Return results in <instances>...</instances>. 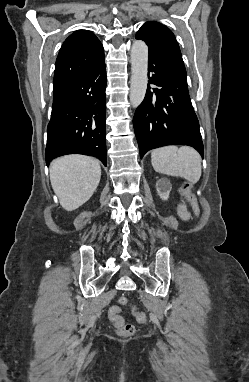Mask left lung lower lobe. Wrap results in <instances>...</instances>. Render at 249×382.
<instances>
[{
  "mask_svg": "<svg viewBox=\"0 0 249 382\" xmlns=\"http://www.w3.org/2000/svg\"><path fill=\"white\" fill-rule=\"evenodd\" d=\"M147 93L136 109L133 125L140 157L165 145H188L204 156L199 122L190 100L187 79L149 57ZM157 88L150 90L149 85Z\"/></svg>",
  "mask_w": 249,
  "mask_h": 382,
  "instance_id": "obj_1",
  "label": "left lung lower lobe"
}]
</instances>
